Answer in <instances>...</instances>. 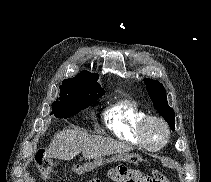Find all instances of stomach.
Returning <instances> with one entry per match:
<instances>
[{"instance_id":"stomach-1","label":"stomach","mask_w":211,"mask_h":182,"mask_svg":"<svg viewBox=\"0 0 211 182\" xmlns=\"http://www.w3.org/2000/svg\"><path fill=\"white\" fill-rule=\"evenodd\" d=\"M116 158L121 161H128L131 158V156L124 153V154H119Z\"/></svg>"}]
</instances>
